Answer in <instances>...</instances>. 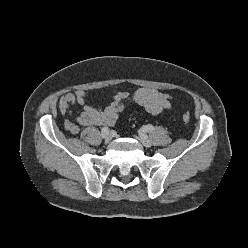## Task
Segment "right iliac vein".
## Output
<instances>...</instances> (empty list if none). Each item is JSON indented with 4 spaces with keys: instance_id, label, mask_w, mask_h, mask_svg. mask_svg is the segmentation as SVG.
Segmentation results:
<instances>
[{
    "instance_id": "right-iliac-vein-1",
    "label": "right iliac vein",
    "mask_w": 248,
    "mask_h": 248,
    "mask_svg": "<svg viewBox=\"0 0 248 248\" xmlns=\"http://www.w3.org/2000/svg\"><path fill=\"white\" fill-rule=\"evenodd\" d=\"M111 139H112L111 135H107V136H105V137H104V141H105V143L110 142V141H111Z\"/></svg>"
}]
</instances>
